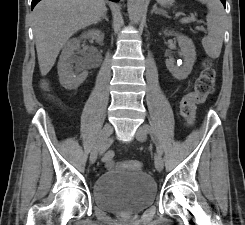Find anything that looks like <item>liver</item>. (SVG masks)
<instances>
[{
  "label": "liver",
  "mask_w": 245,
  "mask_h": 225,
  "mask_svg": "<svg viewBox=\"0 0 245 225\" xmlns=\"http://www.w3.org/2000/svg\"><path fill=\"white\" fill-rule=\"evenodd\" d=\"M105 11V0H42L36 5L33 32L42 76L52 69L68 39L97 23Z\"/></svg>",
  "instance_id": "1"
}]
</instances>
